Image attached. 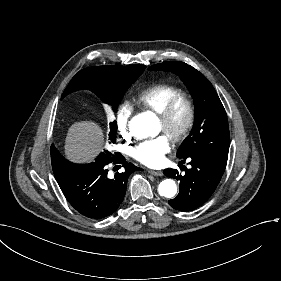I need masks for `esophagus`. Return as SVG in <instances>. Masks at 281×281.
<instances>
[{
    "mask_svg": "<svg viewBox=\"0 0 281 281\" xmlns=\"http://www.w3.org/2000/svg\"><path fill=\"white\" fill-rule=\"evenodd\" d=\"M149 173L154 175V176H163L162 171L149 170Z\"/></svg>",
    "mask_w": 281,
    "mask_h": 281,
    "instance_id": "34e87169",
    "label": "esophagus"
}]
</instances>
